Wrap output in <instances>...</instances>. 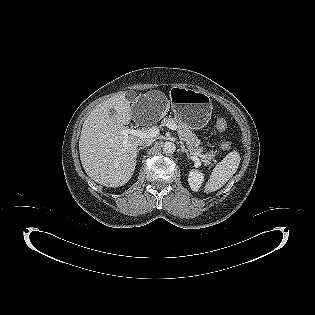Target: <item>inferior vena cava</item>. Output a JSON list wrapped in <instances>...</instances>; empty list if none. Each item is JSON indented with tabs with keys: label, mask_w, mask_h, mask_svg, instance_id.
<instances>
[{
	"label": "inferior vena cava",
	"mask_w": 315,
	"mask_h": 315,
	"mask_svg": "<svg viewBox=\"0 0 315 315\" xmlns=\"http://www.w3.org/2000/svg\"><path fill=\"white\" fill-rule=\"evenodd\" d=\"M154 140L153 139H140L139 141H138V144L140 145V146H149V145H151L152 144V142H153Z\"/></svg>",
	"instance_id": "602c4592"
}]
</instances>
